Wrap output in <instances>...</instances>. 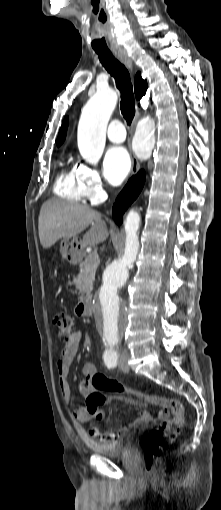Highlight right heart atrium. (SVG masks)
I'll list each match as a JSON object with an SVG mask.
<instances>
[{
	"mask_svg": "<svg viewBox=\"0 0 221 510\" xmlns=\"http://www.w3.org/2000/svg\"><path fill=\"white\" fill-rule=\"evenodd\" d=\"M78 168L83 196L92 204L100 201L104 195V181L101 173L96 168L84 164Z\"/></svg>",
	"mask_w": 221,
	"mask_h": 510,
	"instance_id": "obj_1",
	"label": "right heart atrium"
}]
</instances>
